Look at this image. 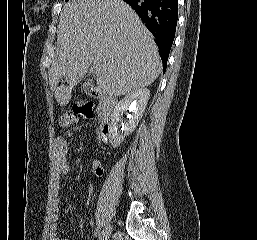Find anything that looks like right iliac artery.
Here are the masks:
<instances>
[{
    "mask_svg": "<svg viewBox=\"0 0 257 240\" xmlns=\"http://www.w3.org/2000/svg\"><path fill=\"white\" fill-rule=\"evenodd\" d=\"M99 235H100V226H97V228L95 230V233H94V236L98 237Z\"/></svg>",
    "mask_w": 257,
    "mask_h": 240,
    "instance_id": "obj_1",
    "label": "right iliac artery"
}]
</instances>
